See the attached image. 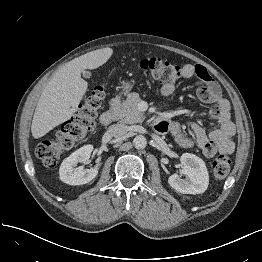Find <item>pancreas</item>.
I'll list each match as a JSON object with an SVG mask.
<instances>
[{"instance_id":"cf45deb5","label":"pancreas","mask_w":262,"mask_h":262,"mask_svg":"<svg viewBox=\"0 0 262 262\" xmlns=\"http://www.w3.org/2000/svg\"><path fill=\"white\" fill-rule=\"evenodd\" d=\"M140 101L138 93H130L127 99L116 108L114 112L116 119L127 124L141 123L145 119V115L138 109Z\"/></svg>"}]
</instances>
